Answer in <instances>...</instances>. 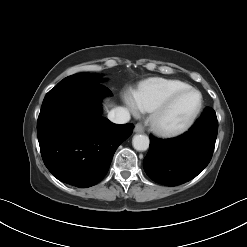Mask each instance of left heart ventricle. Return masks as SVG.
Segmentation results:
<instances>
[{
	"label": "left heart ventricle",
	"instance_id": "obj_1",
	"mask_svg": "<svg viewBox=\"0 0 247 247\" xmlns=\"http://www.w3.org/2000/svg\"><path fill=\"white\" fill-rule=\"evenodd\" d=\"M199 96L196 93H187L181 96L162 118V124L166 127L181 125L195 110Z\"/></svg>",
	"mask_w": 247,
	"mask_h": 247
}]
</instances>
